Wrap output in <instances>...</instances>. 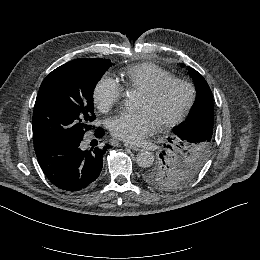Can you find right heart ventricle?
Here are the masks:
<instances>
[{"mask_svg":"<svg viewBox=\"0 0 260 260\" xmlns=\"http://www.w3.org/2000/svg\"><path fill=\"white\" fill-rule=\"evenodd\" d=\"M169 78H173L170 72L152 64H138L130 67L122 74L123 85L141 93Z\"/></svg>","mask_w":260,"mask_h":260,"instance_id":"right-heart-ventricle-1","label":"right heart ventricle"}]
</instances>
